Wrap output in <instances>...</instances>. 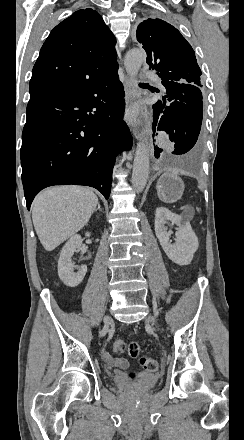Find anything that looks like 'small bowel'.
Segmentation results:
<instances>
[{
    "instance_id": "obj_1",
    "label": "small bowel",
    "mask_w": 244,
    "mask_h": 440,
    "mask_svg": "<svg viewBox=\"0 0 244 440\" xmlns=\"http://www.w3.org/2000/svg\"><path fill=\"white\" fill-rule=\"evenodd\" d=\"M104 359L108 362V363H110L111 365H113V366H117V367H119V368H121V369H123V368H126L127 366H128V362L126 361V360H121V361H116L115 359H114V357L111 355V354H109V353H105L104 354Z\"/></svg>"
}]
</instances>
